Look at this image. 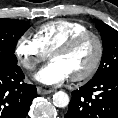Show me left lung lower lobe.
<instances>
[{
	"instance_id": "left-lung-lower-lobe-1",
	"label": "left lung lower lobe",
	"mask_w": 118,
	"mask_h": 118,
	"mask_svg": "<svg viewBox=\"0 0 118 118\" xmlns=\"http://www.w3.org/2000/svg\"><path fill=\"white\" fill-rule=\"evenodd\" d=\"M65 118H118V74L73 91Z\"/></svg>"
}]
</instances>
